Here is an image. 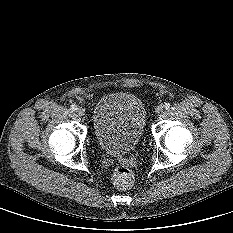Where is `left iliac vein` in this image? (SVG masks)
<instances>
[{
  "label": "left iliac vein",
  "instance_id": "left-iliac-vein-1",
  "mask_svg": "<svg viewBox=\"0 0 233 233\" xmlns=\"http://www.w3.org/2000/svg\"><path fill=\"white\" fill-rule=\"evenodd\" d=\"M163 111V105H158L156 108H155V112L156 113H161Z\"/></svg>",
  "mask_w": 233,
  "mask_h": 233
}]
</instances>
